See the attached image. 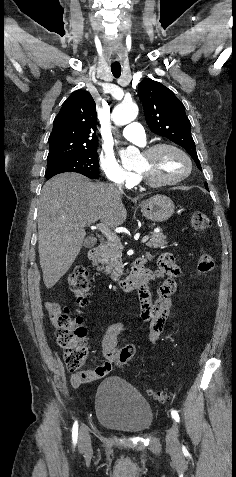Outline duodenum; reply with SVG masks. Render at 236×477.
<instances>
[{
	"label": "duodenum",
	"mask_w": 236,
	"mask_h": 477,
	"mask_svg": "<svg viewBox=\"0 0 236 477\" xmlns=\"http://www.w3.org/2000/svg\"><path fill=\"white\" fill-rule=\"evenodd\" d=\"M88 257L91 261L96 262L99 257V249L97 247L91 248L88 252ZM148 260L146 257L136 259L129 275L117 281L119 288L123 292L130 293L139 290L148 283V279L145 275V265Z\"/></svg>",
	"instance_id": "1"
}]
</instances>
